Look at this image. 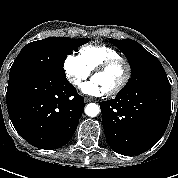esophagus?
Here are the masks:
<instances>
[{"label": "esophagus", "instance_id": "obj_1", "mask_svg": "<svg viewBox=\"0 0 178 178\" xmlns=\"http://www.w3.org/2000/svg\"><path fill=\"white\" fill-rule=\"evenodd\" d=\"M91 101H93V99L90 98V97H85V98H84V102H85V103H88V102H91Z\"/></svg>", "mask_w": 178, "mask_h": 178}]
</instances>
